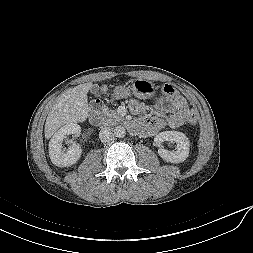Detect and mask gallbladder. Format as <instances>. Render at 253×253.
<instances>
[{"mask_svg": "<svg viewBox=\"0 0 253 253\" xmlns=\"http://www.w3.org/2000/svg\"><path fill=\"white\" fill-rule=\"evenodd\" d=\"M96 91H97V89H95V88H92V89H91V93H92V94H95Z\"/></svg>", "mask_w": 253, "mask_h": 253, "instance_id": "gallbladder-1", "label": "gallbladder"}]
</instances>
